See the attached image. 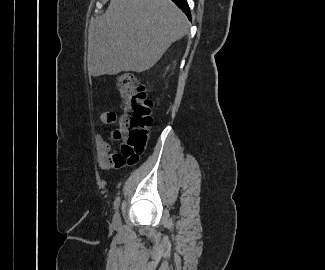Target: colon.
Instances as JSON below:
<instances>
[{
    "label": "colon",
    "mask_w": 325,
    "mask_h": 270,
    "mask_svg": "<svg viewBox=\"0 0 325 270\" xmlns=\"http://www.w3.org/2000/svg\"><path fill=\"white\" fill-rule=\"evenodd\" d=\"M116 84L123 114L112 133V138L121 142V153L130 165H134L146 147L152 125V101L134 73L120 74Z\"/></svg>",
    "instance_id": "obj_1"
}]
</instances>
